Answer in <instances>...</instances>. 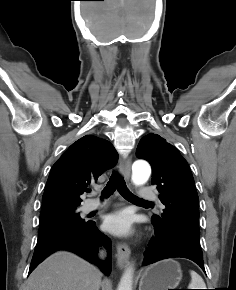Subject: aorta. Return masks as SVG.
<instances>
[{
    "instance_id": "obj_1",
    "label": "aorta",
    "mask_w": 236,
    "mask_h": 290,
    "mask_svg": "<svg viewBox=\"0 0 236 290\" xmlns=\"http://www.w3.org/2000/svg\"><path fill=\"white\" fill-rule=\"evenodd\" d=\"M151 174L150 166L143 161H138L132 167V181L135 185L145 184ZM133 267L129 265L125 270L117 290H132Z\"/></svg>"
}]
</instances>
